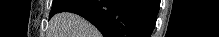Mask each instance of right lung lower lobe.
<instances>
[{"label": "right lung lower lobe", "instance_id": "98d812e1", "mask_svg": "<svg viewBox=\"0 0 219 37\" xmlns=\"http://www.w3.org/2000/svg\"><path fill=\"white\" fill-rule=\"evenodd\" d=\"M158 10L157 0H71L58 13L81 15L104 37H150Z\"/></svg>", "mask_w": 219, "mask_h": 37}]
</instances>
